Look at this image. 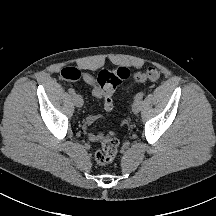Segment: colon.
I'll list each match as a JSON object with an SVG mask.
<instances>
[{"mask_svg": "<svg viewBox=\"0 0 216 216\" xmlns=\"http://www.w3.org/2000/svg\"><path fill=\"white\" fill-rule=\"evenodd\" d=\"M61 76L65 80H77L80 77V71L74 67H66L61 71ZM130 76L129 69L119 67L116 69L102 70L98 75V84L105 95V104L107 107H113L112 95L116 88ZM160 78L159 70L154 67H148L146 71L135 75L136 82L157 81ZM119 147V140L115 133L108 131L101 135V146L95 154V160L99 165H105L113 161Z\"/></svg>", "mask_w": 216, "mask_h": 216, "instance_id": "colon-1", "label": "colon"}]
</instances>
